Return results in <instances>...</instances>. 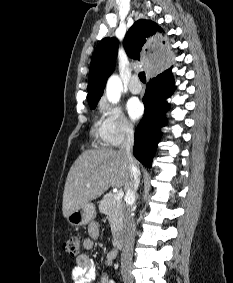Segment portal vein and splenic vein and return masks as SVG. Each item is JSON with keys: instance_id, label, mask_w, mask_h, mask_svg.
Listing matches in <instances>:
<instances>
[{"instance_id": "18ae733b", "label": "portal vein and splenic vein", "mask_w": 233, "mask_h": 283, "mask_svg": "<svg viewBox=\"0 0 233 283\" xmlns=\"http://www.w3.org/2000/svg\"><path fill=\"white\" fill-rule=\"evenodd\" d=\"M123 195H124V192H123L122 190L117 191V192L115 193V195H114V199H115V200H121L122 197H123Z\"/></svg>"}]
</instances>
